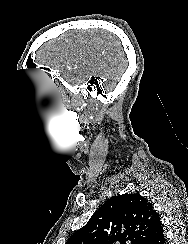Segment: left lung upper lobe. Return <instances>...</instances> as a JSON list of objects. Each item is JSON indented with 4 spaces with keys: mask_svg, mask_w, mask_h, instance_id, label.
<instances>
[{
    "mask_svg": "<svg viewBox=\"0 0 188 244\" xmlns=\"http://www.w3.org/2000/svg\"><path fill=\"white\" fill-rule=\"evenodd\" d=\"M157 215L139 193L113 196L66 244H145Z\"/></svg>",
    "mask_w": 188,
    "mask_h": 244,
    "instance_id": "1",
    "label": "left lung upper lobe"
}]
</instances>
